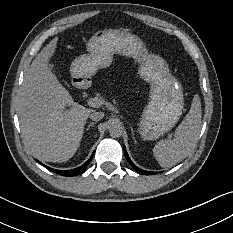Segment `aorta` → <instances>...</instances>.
Instances as JSON below:
<instances>
[{"label":"aorta","instance_id":"762f6f07","mask_svg":"<svg viewBox=\"0 0 233 233\" xmlns=\"http://www.w3.org/2000/svg\"><path fill=\"white\" fill-rule=\"evenodd\" d=\"M109 133L113 138H118L122 135L123 129L121 125L112 124L109 128Z\"/></svg>","mask_w":233,"mask_h":233}]
</instances>
